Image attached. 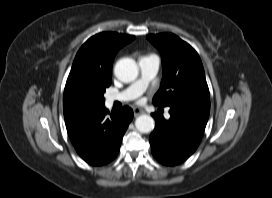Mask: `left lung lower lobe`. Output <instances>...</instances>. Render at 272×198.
<instances>
[{"instance_id": "0a47b994", "label": "left lung lower lobe", "mask_w": 272, "mask_h": 198, "mask_svg": "<svg viewBox=\"0 0 272 198\" xmlns=\"http://www.w3.org/2000/svg\"><path fill=\"white\" fill-rule=\"evenodd\" d=\"M170 119L154 113L156 121L150 135L153 156L164 165H177L185 161L197 149L209 112L184 107L170 106Z\"/></svg>"}]
</instances>
